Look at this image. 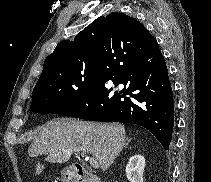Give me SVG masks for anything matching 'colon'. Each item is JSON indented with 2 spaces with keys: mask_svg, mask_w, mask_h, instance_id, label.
Wrapping results in <instances>:
<instances>
[{
  "mask_svg": "<svg viewBox=\"0 0 211 182\" xmlns=\"http://www.w3.org/2000/svg\"><path fill=\"white\" fill-rule=\"evenodd\" d=\"M43 172V166L39 163L34 164L33 166V174L34 175H41Z\"/></svg>",
  "mask_w": 211,
  "mask_h": 182,
  "instance_id": "colon-1",
  "label": "colon"
}]
</instances>
